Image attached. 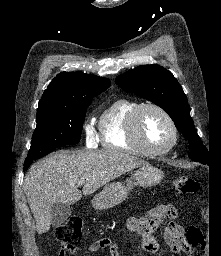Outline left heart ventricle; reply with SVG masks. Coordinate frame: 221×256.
I'll use <instances>...</instances> for the list:
<instances>
[{
    "instance_id": "left-heart-ventricle-1",
    "label": "left heart ventricle",
    "mask_w": 221,
    "mask_h": 256,
    "mask_svg": "<svg viewBox=\"0 0 221 256\" xmlns=\"http://www.w3.org/2000/svg\"><path fill=\"white\" fill-rule=\"evenodd\" d=\"M141 133L145 142L156 149L165 147L172 138L168 121L155 109H147L143 113Z\"/></svg>"
}]
</instances>
